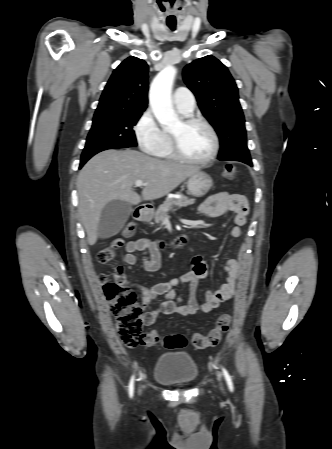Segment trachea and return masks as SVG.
Returning <instances> with one entry per match:
<instances>
[{
  "label": "trachea",
  "instance_id": "obj_1",
  "mask_svg": "<svg viewBox=\"0 0 332 449\" xmlns=\"http://www.w3.org/2000/svg\"><path fill=\"white\" fill-rule=\"evenodd\" d=\"M169 27H170L171 30H175V27H174V26H169Z\"/></svg>",
  "mask_w": 332,
  "mask_h": 449
}]
</instances>
